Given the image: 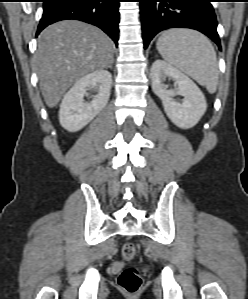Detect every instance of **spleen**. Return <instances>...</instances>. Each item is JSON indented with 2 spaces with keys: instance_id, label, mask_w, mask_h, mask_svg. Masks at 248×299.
Listing matches in <instances>:
<instances>
[{
  "instance_id": "spleen-1",
  "label": "spleen",
  "mask_w": 248,
  "mask_h": 299,
  "mask_svg": "<svg viewBox=\"0 0 248 299\" xmlns=\"http://www.w3.org/2000/svg\"><path fill=\"white\" fill-rule=\"evenodd\" d=\"M157 50L170 65L192 77L213 94L218 85L216 52L209 39L191 29H169L158 38Z\"/></svg>"
}]
</instances>
